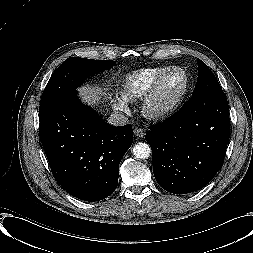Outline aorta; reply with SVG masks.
Returning <instances> with one entry per match:
<instances>
[{
    "instance_id": "762f6f07",
    "label": "aorta",
    "mask_w": 253,
    "mask_h": 253,
    "mask_svg": "<svg viewBox=\"0 0 253 253\" xmlns=\"http://www.w3.org/2000/svg\"><path fill=\"white\" fill-rule=\"evenodd\" d=\"M150 153L151 148L147 143L139 142L133 147V155L138 159H147Z\"/></svg>"
}]
</instances>
